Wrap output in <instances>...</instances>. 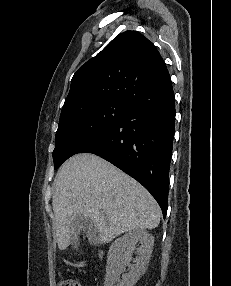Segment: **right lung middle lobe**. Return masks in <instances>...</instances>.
Returning a JSON list of instances; mask_svg holds the SVG:
<instances>
[{"instance_id": "right-lung-middle-lobe-1", "label": "right lung middle lobe", "mask_w": 231, "mask_h": 286, "mask_svg": "<svg viewBox=\"0 0 231 286\" xmlns=\"http://www.w3.org/2000/svg\"><path fill=\"white\" fill-rule=\"evenodd\" d=\"M122 101H104L60 117L53 151L55 169L126 113Z\"/></svg>"}]
</instances>
